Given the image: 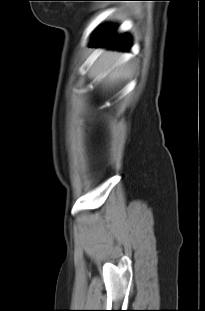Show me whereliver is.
Here are the masks:
<instances>
[{"instance_id": "obj_1", "label": "liver", "mask_w": 205, "mask_h": 311, "mask_svg": "<svg viewBox=\"0 0 205 311\" xmlns=\"http://www.w3.org/2000/svg\"><path fill=\"white\" fill-rule=\"evenodd\" d=\"M118 57L117 53L104 52L96 65L95 73H107L104 80L106 85H113L123 75L124 68L116 65Z\"/></svg>"}]
</instances>
